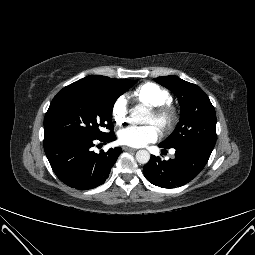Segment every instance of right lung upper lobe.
I'll list each match as a JSON object with an SVG mask.
<instances>
[{"label": "right lung upper lobe", "mask_w": 255, "mask_h": 255, "mask_svg": "<svg viewBox=\"0 0 255 255\" xmlns=\"http://www.w3.org/2000/svg\"><path fill=\"white\" fill-rule=\"evenodd\" d=\"M116 79L115 78H109L106 76H100V75H91L87 76L85 78H82L66 87H64L52 100L50 107L45 115L44 119V127H45V121L46 116L51 111L52 107L64 96L68 95L69 93H72L74 91L80 90V89H87V88H103L111 83H113ZM50 137V135L45 131V138Z\"/></svg>", "instance_id": "cb5924a9"}]
</instances>
